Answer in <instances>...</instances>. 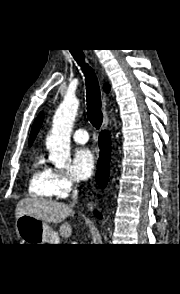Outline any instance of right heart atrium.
<instances>
[{
    "label": "right heart atrium",
    "instance_id": "right-heart-atrium-1",
    "mask_svg": "<svg viewBox=\"0 0 180 294\" xmlns=\"http://www.w3.org/2000/svg\"><path fill=\"white\" fill-rule=\"evenodd\" d=\"M53 184L55 196L58 198H64L75 188L76 180L69 172L54 169Z\"/></svg>",
    "mask_w": 180,
    "mask_h": 294
}]
</instances>
